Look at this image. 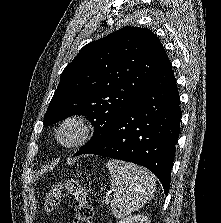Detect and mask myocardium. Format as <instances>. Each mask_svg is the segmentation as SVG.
I'll list each match as a JSON object with an SVG mask.
<instances>
[{"label":"myocardium","mask_w":221,"mask_h":223,"mask_svg":"<svg viewBox=\"0 0 221 223\" xmlns=\"http://www.w3.org/2000/svg\"><path fill=\"white\" fill-rule=\"evenodd\" d=\"M69 127L76 130V136L69 141H63L60 135ZM96 132V123L89 116L83 113H72L59 121L56 129L54 130V140L56 144L62 148H77L92 140Z\"/></svg>","instance_id":"f54148a6"}]
</instances>
